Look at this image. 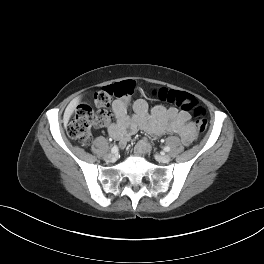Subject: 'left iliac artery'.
Wrapping results in <instances>:
<instances>
[{"label":"left iliac artery","mask_w":264,"mask_h":264,"mask_svg":"<svg viewBox=\"0 0 264 264\" xmlns=\"http://www.w3.org/2000/svg\"><path fill=\"white\" fill-rule=\"evenodd\" d=\"M164 151H165V152H169V151H170V147L166 146V147L164 148Z\"/></svg>","instance_id":"left-iliac-artery-1"}]
</instances>
